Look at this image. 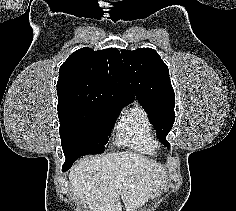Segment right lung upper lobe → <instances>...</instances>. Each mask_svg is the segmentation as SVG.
<instances>
[{
    "label": "right lung upper lobe",
    "instance_id": "1",
    "mask_svg": "<svg viewBox=\"0 0 236 211\" xmlns=\"http://www.w3.org/2000/svg\"><path fill=\"white\" fill-rule=\"evenodd\" d=\"M57 109L90 106L121 109L134 100L120 52L82 48L60 66Z\"/></svg>",
    "mask_w": 236,
    "mask_h": 211
}]
</instances>
